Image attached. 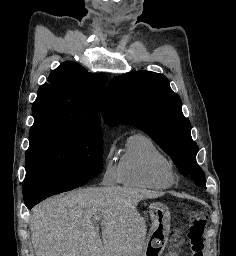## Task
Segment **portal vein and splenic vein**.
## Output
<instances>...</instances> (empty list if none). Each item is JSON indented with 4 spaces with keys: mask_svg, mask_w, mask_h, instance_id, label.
Wrapping results in <instances>:
<instances>
[{
    "mask_svg": "<svg viewBox=\"0 0 236 256\" xmlns=\"http://www.w3.org/2000/svg\"><path fill=\"white\" fill-rule=\"evenodd\" d=\"M101 220L102 216H94V218H92L93 224H98V222H101Z\"/></svg>",
    "mask_w": 236,
    "mask_h": 256,
    "instance_id": "obj_1",
    "label": "portal vein and splenic vein"
}]
</instances>
